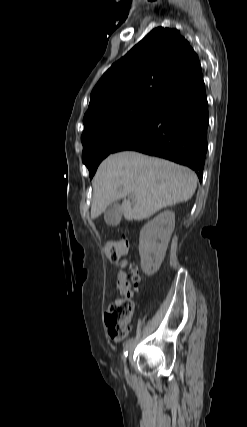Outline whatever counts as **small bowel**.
I'll return each instance as SVG.
<instances>
[{
    "label": "small bowel",
    "instance_id": "small-bowel-1",
    "mask_svg": "<svg viewBox=\"0 0 247 427\" xmlns=\"http://www.w3.org/2000/svg\"><path fill=\"white\" fill-rule=\"evenodd\" d=\"M128 265L127 260H123L120 263V269L117 273V289L120 294L123 296H130L132 294L131 284L127 278V274L124 271V268Z\"/></svg>",
    "mask_w": 247,
    "mask_h": 427
}]
</instances>
